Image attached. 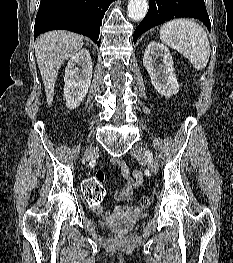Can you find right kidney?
<instances>
[{
  "label": "right kidney",
  "instance_id": "obj_1",
  "mask_svg": "<svg viewBox=\"0 0 233 263\" xmlns=\"http://www.w3.org/2000/svg\"><path fill=\"white\" fill-rule=\"evenodd\" d=\"M92 79V61L87 49L73 55L65 69L64 98L69 109L77 108L88 93Z\"/></svg>",
  "mask_w": 233,
  "mask_h": 263
}]
</instances>
